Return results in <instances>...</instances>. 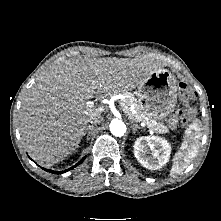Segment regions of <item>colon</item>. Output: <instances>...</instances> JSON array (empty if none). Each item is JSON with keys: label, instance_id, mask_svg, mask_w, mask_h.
Masks as SVG:
<instances>
[{"label": "colon", "instance_id": "obj_1", "mask_svg": "<svg viewBox=\"0 0 221 221\" xmlns=\"http://www.w3.org/2000/svg\"><path fill=\"white\" fill-rule=\"evenodd\" d=\"M179 87H180V94H181L182 99L189 100L192 97V93L190 89L187 87V85L181 82L179 84ZM195 113L196 111L192 107H188L180 111V116H181L183 126H187L190 123V121L194 118Z\"/></svg>", "mask_w": 221, "mask_h": 221}]
</instances>
